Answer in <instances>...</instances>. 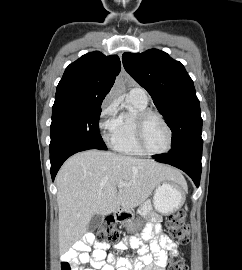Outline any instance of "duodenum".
<instances>
[{"mask_svg": "<svg viewBox=\"0 0 242 270\" xmlns=\"http://www.w3.org/2000/svg\"><path fill=\"white\" fill-rule=\"evenodd\" d=\"M112 216L119 219V216H120V212L119 211H115L112 213Z\"/></svg>", "mask_w": 242, "mask_h": 270, "instance_id": "410a0bca", "label": "duodenum"}]
</instances>
